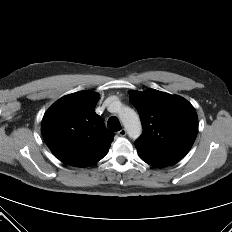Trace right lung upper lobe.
Masks as SVG:
<instances>
[{"mask_svg":"<svg viewBox=\"0 0 232 232\" xmlns=\"http://www.w3.org/2000/svg\"><path fill=\"white\" fill-rule=\"evenodd\" d=\"M98 99L95 92H76L57 100L45 113L42 135L60 161L87 167L107 154L115 134L94 111Z\"/></svg>","mask_w":232,"mask_h":232,"instance_id":"right-lung-upper-lobe-1","label":"right lung upper lobe"}]
</instances>
